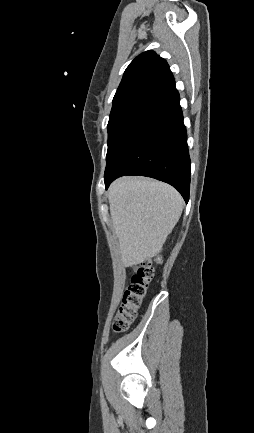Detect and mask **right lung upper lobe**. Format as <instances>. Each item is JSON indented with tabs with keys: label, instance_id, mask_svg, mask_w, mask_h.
Returning <instances> with one entry per match:
<instances>
[{
	"label": "right lung upper lobe",
	"instance_id": "right-lung-upper-lobe-1",
	"mask_svg": "<svg viewBox=\"0 0 254 433\" xmlns=\"http://www.w3.org/2000/svg\"><path fill=\"white\" fill-rule=\"evenodd\" d=\"M173 81L167 62L154 51H146L125 70L113 106L128 102L145 103Z\"/></svg>",
	"mask_w": 254,
	"mask_h": 433
}]
</instances>
